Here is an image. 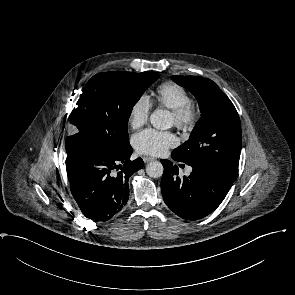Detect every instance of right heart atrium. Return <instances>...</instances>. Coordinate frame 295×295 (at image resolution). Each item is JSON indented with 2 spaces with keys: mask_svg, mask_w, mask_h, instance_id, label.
<instances>
[{
  "mask_svg": "<svg viewBox=\"0 0 295 295\" xmlns=\"http://www.w3.org/2000/svg\"><path fill=\"white\" fill-rule=\"evenodd\" d=\"M151 110V101L146 94L138 96L130 106L128 123L132 129H139L146 124Z\"/></svg>",
  "mask_w": 295,
  "mask_h": 295,
  "instance_id": "1",
  "label": "right heart atrium"
}]
</instances>
